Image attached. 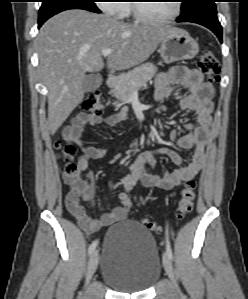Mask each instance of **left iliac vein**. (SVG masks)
<instances>
[{
	"label": "left iliac vein",
	"instance_id": "4c4485c4",
	"mask_svg": "<svg viewBox=\"0 0 248 299\" xmlns=\"http://www.w3.org/2000/svg\"><path fill=\"white\" fill-rule=\"evenodd\" d=\"M163 265H164V268H165V271H166L168 277L170 278V280L174 284L177 292L179 293L180 291H179V288H178L176 280H175L173 266H172L171 260L168 256L167 252L163 254Z\"/></svg>",
	"mask_w": 248,
	"mask_h": 299
}]
</instances>
